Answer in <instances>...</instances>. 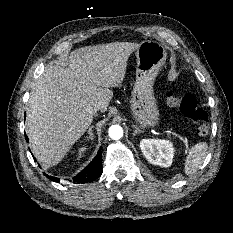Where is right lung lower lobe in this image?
I'll return each instance as SVG.
<instances>
[{"label":"right lung lower lobe","instance_id":"98d812e1","mask_svg":"<svg viewBox=\"0 0 233 233\" xmlns=\"http://www.w3.org/2000/svg\"><path fill=\"white\" fill-rule=\"evenodd\" d=\"M26 136V135H25ZM26 141L28 138L26 136ZM36 161V159L34 158ZM102 174V152L101 149L98 151L97 155L93 161L85 167L77 176L74 177V182L76 183H87L92 182L97 179ZM49 179L55 182H59L58 178L48 176Z\"/></svg>","mask_w":233,"mask_h":233}]
</instances>
